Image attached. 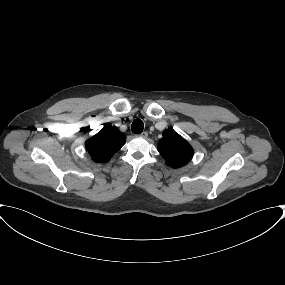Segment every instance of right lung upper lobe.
Returning <instances> with one entry per match:
<instances>
[{
  "mask_svg": "<svg viewBox=\"0 0 285 285\" xmlns=\"http://www.w3.org/2000/svg\"><path fill=\"white\" fill-rule=\"evenodd\" d=\"M126 142V136L111 124H106L96 135L88 139L85 143L86 150L89 152L93 161L105 163Z\"/></svg>",
  "mask_w": 285,
  "mask_h": 285,
  "instance_id": "obj_1",
  "label": "right lung upper lobe"
}]
</instances>
